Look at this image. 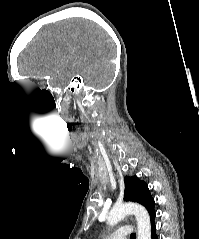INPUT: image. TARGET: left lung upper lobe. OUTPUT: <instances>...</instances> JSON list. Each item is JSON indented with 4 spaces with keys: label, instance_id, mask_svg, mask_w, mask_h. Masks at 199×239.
I'll list each match as a JSON object with an SVG mask.
<instances>
[{
    "label": "left lung upper lobe",
    "instance_id": "5c2ea615",
    "mask_svg": "<svg viewBox=\"0 0 199 239\" xmlns=\"http://www.w3.org/2000/svg\"><path fill=\"white\" fill-rule=\"evenodd\" d=\"M125 201L137 202L143 205L149 212L154 213V200L148 190V186L144 181H140L137 176H126L125 179Z\"/></svg>",
    "mask_w": 199,
    "mask_h": 239
}]
</instances>
